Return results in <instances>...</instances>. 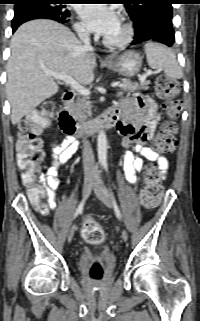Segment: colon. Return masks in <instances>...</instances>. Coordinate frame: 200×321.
I'll list each match as a JSON object with an SVG mask.
<instances>
[{"instance_id": "colon-1", "label": "colon", "mask_w": 200, "mask_h": 321, "mask_svg": "<svg viewBox=\"0 0 200 321\" xmlns=\"http://www.w3.org/2000/svg\"><path fill=\"white\" fill-rule=\"evenodd\" d=\"M155 90L157 97L163 102L167 120L156 135L154 147L157 152L167 154L173 152L177 144V120L181 110V103L177 99L179 85L174 79L162 75L157 78ZM54 111V102L46 101L38 110L31 112L20 125L16 148L17 165L22 172L23 185L29 191L32 204L42 214H47L49 207L42 202V191L37 186V175L44 157L39 134L48 126ZM162 194L161 171L156 166L147 165L144 170V187L140 193L141 204L146 209H154ZM81 233L90 244H100L104 239L103 229L91 218L84 221ZM90 275L94 280H100L103 276L102 265L95 262L90 269Z\"/></svg>"}]
</instances>
